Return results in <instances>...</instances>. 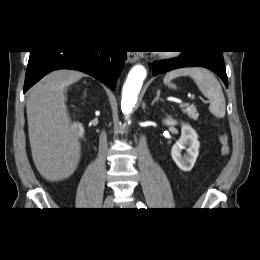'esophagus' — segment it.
I'll return each instance as SVG.
<instances>
[{"mask_svg": "<svg viewBox=\"0 0 260 260\" xmlns=\"http://www.w3.org/2000/svg\"><path fill=\"white\" fill-rule=\"evenodd\" d=\"M128 59L131 63H135L139 60V57L137 54L133 53V52H129L127 53Z\"/></svg>", "mask_w": 260, "mask_h": 260, "instance_id": "34e87169", "label": "esophagus"}]
</instances>
